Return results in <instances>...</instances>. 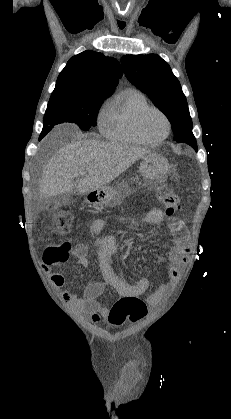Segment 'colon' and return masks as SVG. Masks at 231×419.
Returning <instances> with one entry per match:
<instances>
[{
  "mask_svg": "<svg viewBox=\"0 0 231 419\" xmlns=\"http://www.w3.org/2000/svg\"><path fill=\"white\" fill-rule=\"evenodd\" d=\"M161 199L165 208V214L173 217L180 209L179 197L171 191L162 192ZM73 217L68 211H63L53 218L52 230L55 232H68L72 229ZM71 245L63 242L59 245L50 246L44 252V263L55 265L64 263L70 255ZM147 312L146 304L138 297H122L117 300L109 310L108 321L113 326H121L126 321L137 322Z\"/></svg>",
  "mask_w": 231,
  "mask_h": 419,
  "instance_id": "colon-1",
  "label": "colon"
}]
</instances>
